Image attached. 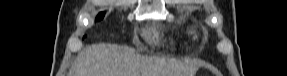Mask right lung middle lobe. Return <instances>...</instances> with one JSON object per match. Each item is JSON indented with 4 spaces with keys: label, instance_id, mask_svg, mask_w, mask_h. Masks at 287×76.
<instances>
[{
    "label": "right lung middle lobe",
    "instance_id": "1",
    "mask_svg": "<svg viewBox=\"0 0 287 76\" xmlns=\"http://www.w3.org/2000/svg\"><path fill=\"white\" fill-rule=\"evenodd\" d=\"M105 16V12H100L97 17H96V20L99 21V20H102Z\"/></svg>",
    "mask_w": 287,
    "mask_h": 76
}]
</instances>
